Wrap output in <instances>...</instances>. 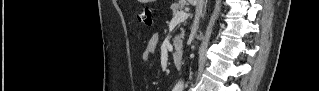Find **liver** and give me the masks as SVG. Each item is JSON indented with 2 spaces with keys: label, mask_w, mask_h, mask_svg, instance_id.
<instances>
[{
  "label": "liver",
  "mask_w": 319,
  "mask_h": 91,
  "mask_svg": "<svg viewBox=\"0 0 319 91\" xmlns=\"http://www.w3.org/2000/svg\"><path fill=\"white\" fill-rule=\"evenodd\" d=\"M188 2L192 5H197L198 0H188Z\"/></svg>",
  "instance_id": "1"
}]
</instances>
